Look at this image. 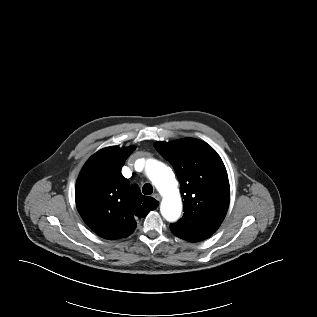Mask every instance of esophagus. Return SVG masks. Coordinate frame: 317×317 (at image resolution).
<instances>
[{
  "label": "esophagus",
  "mask_w": 317,
  "mask_h": 317,
  "mask_svg": "<svg viewBox=\"0 0 317 317\" xmlns=\"http://www.w3.org/2000/svg\"><path fill=\"white\" fill-rule=\"evenodd\" d=\"M153 197L157 200V201H160L161 200V196L158 194V193H155L153 195Z\"/></svg>",
  "instance_id": "obj_1"
}]
</instances>
